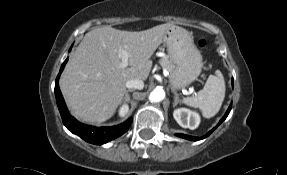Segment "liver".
<instances>
[{"instance_id": "obj_1", "label": "liver", "mask_w": 287, "mask_h": 175, "mask_svg": "<svg viewBox=\"0 0 287 175\" xmlns=\"http://www.w3.org/2000/svg\"><path fill=\"white\" fill-rule=\"evenodd\" d=\"M170 28L179 27L166 23L131 32L106 26L86 33L60 80L72 114L92 124L111 118L125 97L126 82L148 78L153 64L150 58ZM121 50L129 53L130 67H120Z\"/></svg>"}]
</instances>
